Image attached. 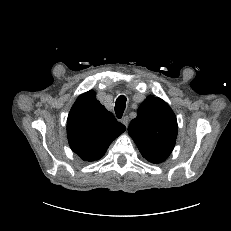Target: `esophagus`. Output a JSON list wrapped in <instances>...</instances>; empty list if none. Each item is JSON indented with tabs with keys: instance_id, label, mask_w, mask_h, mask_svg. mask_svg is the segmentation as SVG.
<instances>
[{
	"instance_id": "esophagus-1",
	"label": "esophagus",
	"mask_w": 231,
	"mask_h": 231,
	"mask_svg": "<svg viewBox=\"0 0 231 231\" xmlns=\"http://www.w3.org/2000/svg\"><path fill=\"white\" fill-rule=\"evenodd\" d=\"M121 121L127 127L128 123H129V117L128 116H124Z\"/></svg>"
}]
</instances>
